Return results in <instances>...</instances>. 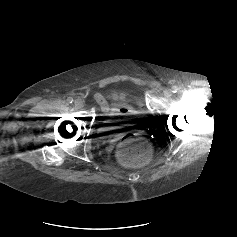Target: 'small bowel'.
Segmentation results:
<instances>
[{
    "label": "small bowel",
    "instance_id": "1",
    "mask_svg": "<svg viewBox=\"0 0 237 237\" xmlns=\"http://www.w3.org/2000/svg\"><path fill=\"white\" fill-rule=\"evenodd\" d=\"M95 98L97 102L100 104L102 111L108 116L126 115L131 112L130 108L120 103H117L115 106L111 107L107 99L100 94H96ZM113 98L117 101H121L123 96L115 94Z\"/></svg>",
    "mask_w": 237,
    "mask_h": 237
}]
</instances>
